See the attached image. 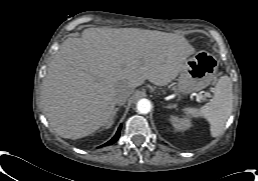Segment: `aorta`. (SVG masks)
<instances>
[{
    "mask_svg": "<svg viewBox=\"0 0 258 181\" xmlns=\"http://www.w3.org/2000/svg\"><path fill=\"white\" fill-rule=\"evenodd\" d=\"M137 110L141 114H147L151 110V102L148 99H140L137 102Z\"/></svg>",
    "mask_w": 258,
    "mask_h": 181,
    "instance_id": "aorta-1",
    "label": "aorta"
}]
</instances>
